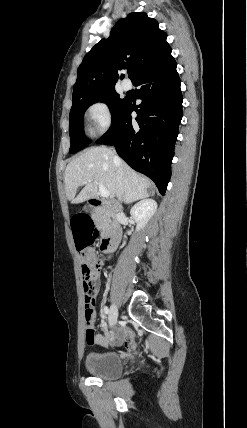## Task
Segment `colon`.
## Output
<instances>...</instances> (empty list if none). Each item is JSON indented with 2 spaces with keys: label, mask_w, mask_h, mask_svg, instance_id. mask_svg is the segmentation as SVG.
<instances>
[{
  "label": "colon",
  "mask_w": 247,
  "mask_h": 428,
  "mask_svg": "<svg viewBox=\"0 0 247 428\" xmlns=\"http://www.w3.org/2000/svg\"><path fill=\"white\" fill-rule=\"evenodd\" d=\"M70 221L72 222V239L74 246L79 247L78 251L85 250L87 243L93 239L96 228L93 225V217H89V212H70ZM98 264L92 263L88 254H81V273L83 278V290L85 295V328L86 339L89 342L94 341V306L88 301L91 286L97 279ZM134 343L129 340L127 346L132 347Z\"/></svg>",
  "instance_id": "5ec220e1"
}]
</instances>
